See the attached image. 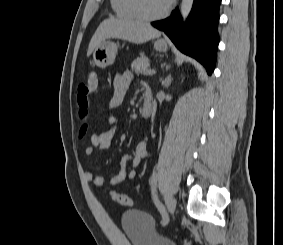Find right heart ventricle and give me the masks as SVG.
<instances>
[{"mask_svg": "<svg viewBox=\"0 0 283 245\" xmlns=\"http://www.w3.org/2000/svg\"><path fill=\"white\" fill-rule=\"evenodd\" d=\"M114 13L121 18H138L132 5V0H110Z\"/></svg>", "mask_w": 283, "mask_h": 245, "instance_id": "right-heart-ventricle-1", "label": "right heart ventricle"}]
</instances>
